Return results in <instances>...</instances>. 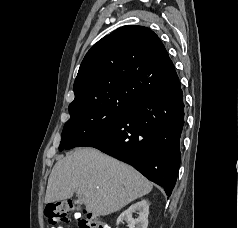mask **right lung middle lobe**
I'll return each instance as SVG.
<instances>
[{
    "instance_id": "1",
    "label": "right lung middle lobe",
    "mask_w": 238,
    "mask_h": 228,
    "mask_svg": "<svg viewBox=\"0 0 238 228\" xmlns=\"http://www.w3.org/2000/svg\"><path fill=\"white\" fill-rule=\"evenodd\" d=\"M128 104L95 105L70 113L64 125L59 150H67L97 135L117 121Z\"/></svg>"
}]
</instances>
